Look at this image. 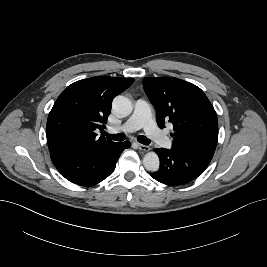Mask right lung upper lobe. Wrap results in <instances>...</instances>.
Listing matches in <instances>:
<instances>
[{"label":"right lung upper lobe","mask_w":267,"mask_h":267,"mask_svg":"<svg viewBox=\"0 0 267 267\" xmlns=\"http://www.w3.org/2000/svg\"><path fill=\"white\" fill-rule=\"evenodd\" d=\"M133 82V78L97 76L69 85L48 116L46 133L51 155L79 153L116 143L103 136L96 138L95 130L107 122L113 98Z\"/></svg>","instance_id":"cb5924a9"}]
</instances>
